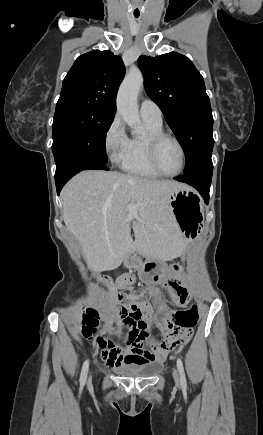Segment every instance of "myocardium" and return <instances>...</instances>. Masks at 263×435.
<instances>
[{
  "label": "myocardium",
  "instance_id": "f54148a6",
  "mask_svg": "<svg viewBox=\"0 0 263 435\" xmlns=\"http://www.w3.org/2000/svg\"><path fill=\"white\" fill-rule=\"evenodd\" d=\"M164 140H172L173 142H175L177 144V146L179 147V149L181 151L182 165H181L180 170L175 172V173L165 172L164 170H162V168L160 167V165L158 163V159H157L158 148ZM147 151H148V159H149V162H150L152 168L161 176H165V177L178 176L184 171V169L186 167L187 155H186L185 147L182 144V142L176 136H174L172 134L165 133L162 131V132L150 135L148 137V140H147Z\"/></svg>",
  "mask_w": 263,
  "mask_h": 435
}]
</instances>
